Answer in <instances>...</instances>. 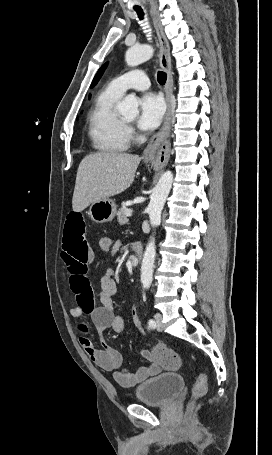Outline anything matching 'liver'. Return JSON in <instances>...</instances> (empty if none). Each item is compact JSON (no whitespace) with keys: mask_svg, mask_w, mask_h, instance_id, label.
Instances as JSON below:
<instances>
[{"mask_svg":"<svg viewBox=\"0 0 272 455\" xmlns=\"http://www.w3.org/2000/svg\"><path fill=\"white\" fill-rule=\"evenodd\" d=\"M140 161L138 155L116 152L84 157L77 170L73 210L81 212L96 201L124 192L133 183Z\"/></svg>","mask_w":272,"mask_h":455,"instance_id":"obj_1","label":"liver"}]
</instances>
